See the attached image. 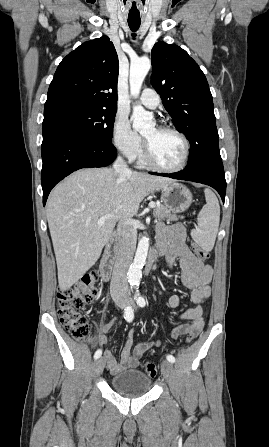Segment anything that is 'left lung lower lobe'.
Masks as SVG:
<instances>
[{
	"label": "left lung lower lobe",
	"mask_w": 269,
	"mask_h": 447,
	"mask_svg": "<svg viewBox=\"0 0 269 447\" xmlns=\"http://www.w3.org/2000/svg\"><path fill=\"white\" fill-rule=\"evenodd\" d=\"M174 179L203 183L213 187L220 194L224 202L226 193V180L222 161L209 162L194 170H182L172 174L150 173Z\"/></svg>",
	"instance_id": "1"
}]
</instances>
